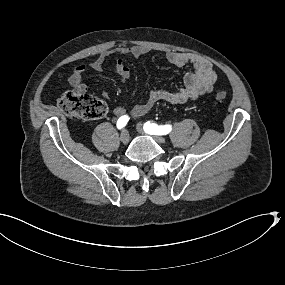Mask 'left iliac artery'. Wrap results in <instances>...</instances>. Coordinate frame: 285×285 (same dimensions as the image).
<instances>
[{
  "instance_id": "obj_1",
  "label": "left iliac artery",
  "mask_w": 285,
  "mask_h": 285,
  "mask_svg": "<svg viewBox=\"0 0 285 285\" xmlns=\"http://www.w3.org/2000/svg\"><path fill=\"white\" fill-rule=\"evenodd\" d=\"M143 128L146 133L151 134V135H166L172 129L171 125L158 126L157 124L151 123L149 121L144 124Z\"/></svg>"
}]
</instances>
